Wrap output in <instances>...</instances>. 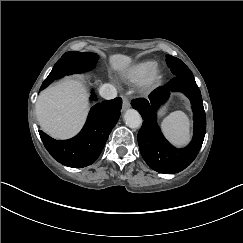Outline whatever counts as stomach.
I'll use <instances>...</instances> for the list:
<instances>
[{
  "instance_id": "obj_1",
  "label": "stomach",
  "mask_w": 243,
  "mask_h": 243,
  "mask_svg": "<svg viewBox=\"0 0 243 243\" xmlns=\"http://www.w3.org/2000/svg\"><path fill=\"white\" fill-rule=\"evenodd\" d=\"M165 113V109H162L161 111H160V115H163Z\"/></svg>"
}]
</instances>
